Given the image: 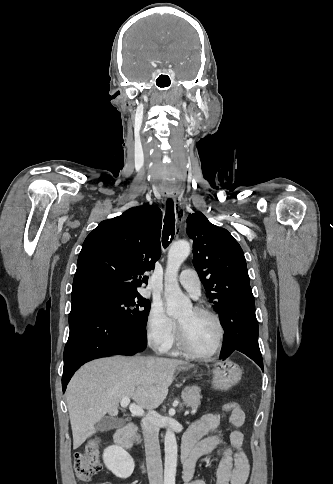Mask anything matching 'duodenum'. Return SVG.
<instances>
[{
  "label": "duodenum",
  "mask_w": 333,
  "mask_h": 484,
  "mask_svg": "<svg viewBox=\"0 0 333 484\" xmlns=\"http://www.w3.org/2000/svg\"><path fill=\"white\" fill-rule=\"evenodd\" d=\"M136 428L137 427L134 423H128L119 428L114 436L115 443L122 448L130 449L133 445V436L136 432ZM180 455L183 467L186 468L193 459L194 445L183 440Z\"/></svg>",
  "instance_id": "duodenum-1"
}]
</instances>
